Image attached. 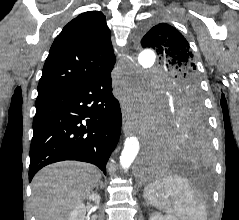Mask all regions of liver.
<instances>
[{
    "mask_svg": "<svg viewBox=\"0 0 239 220\" xmlns=\"http://www.w3.org/2000/svg\"><path fill=\"white\" fill-rule=\"evenodd\" d=\"M100 178L99 170L87 163L63 161L44 167L32 181L36 220H68Z\"/></svg>",
    "mask_w": 239,
    "mask_h": 220,
    "instance_id": "1",
    "label": "liver"
}]
</instances>
